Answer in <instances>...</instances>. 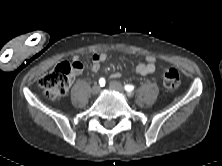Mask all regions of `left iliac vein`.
Segmentation results:
<instances>
[{"instance_id": "1", "label": "left iliac vein", "mask_w": 222, "mask_h": 166, "mask_svg": "<svg viewBox=\"0 0 222 166\" xmlns=\"http://www.w3.org/2000/svg\"><path fill=\"white\" fill-rule=\"evenodd\" d=\"M109 86L111 89L115 90V91H118L120 93H123L124 92V89H123V86L118 82V81H112L109 83ZM129 96L132 95V93H129L128 94Z\"/></svg>"}]
</instances>
